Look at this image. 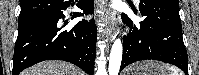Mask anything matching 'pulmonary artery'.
<instances>
[{
  "label": "pulmonary artery",
  "mask_w": 199,
  "mask_h": 75,
  "mask_svg": "<svg viewBox=\"0 0 199 75\" xmlns=\"http://www.w3.org/2000/svg\"><path fill=\"white\" fill-rule=\"evenodd\" d=\"M136 3L138 4V3H139V1H138V0H136Z\"/></svg>",
  "instance_id": "e3ab8cb5"
}]
</instances>
